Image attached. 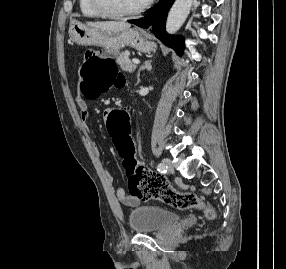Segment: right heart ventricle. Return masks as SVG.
<instances>
[{"label": "right heart ventricle", "instance_id": "e07e8e85", "mask_svg": "<svg viewBox=\"0 0 286 269\" xmlns=\"http://www.w3.org/2000/svg\"><path fill=\"white\" fill-rule=\"evenodd\" d=\"M79 9L83 16L89 18L101 17L99 13L94 9L91 0H79Z\"/></svg>", "mask_w": 286, "mask_h": 269}]
</instances>
